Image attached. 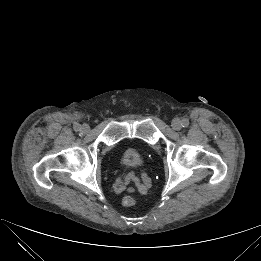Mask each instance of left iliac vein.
I'll return each instance as SVG.
<instances>
[{
  "label": "left iliac vein",
  "instance_id": "left-iliac-vein-1",
  "mask_svg": "<svg viewBox=\"0 0 261 261\" xmlns=\"http://www.w3.org/2000/svg\"><path fill=\"white\" fill-rule=\"evenodd\" d=\"M171 126L176 131H179L182 128L181 121L178 118L172 120Z\"/></svg>",
  "mask_w": 261,
  "mask_h": 261
}]
</instances>
